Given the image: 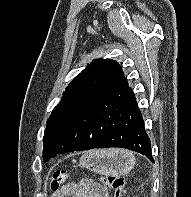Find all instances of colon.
Here are the masks:
<instances>
[{
    "label": "colon",
    "instance_id": "1",
    "mask_svg": "<svg viewBox=\"0 0 191 197\" xmlns=\"http://www.w3.org/2000/svg\"><path fill=\"white\" fill-rule=\"evenodd\" d=\"M68 172L65 170H56L52 173L50 187L53 191L59 190L60 186L63 185L68 179ZM102 183L106 189L113 191L114 197H122L124 192L125 181L122 176L108 174L101 178Z\"/></svg>",
    "mask_w": 191,
    "mask_h": 197
}]
</instances>
